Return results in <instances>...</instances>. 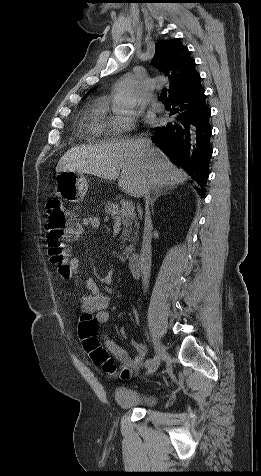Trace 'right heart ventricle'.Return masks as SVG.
Segmentation results:
<instances>
[{"instance_id": "1", "label": "right heart ventricle", "mask_w": 261, "mask_h": 476, "mask_svg": "<svg viewBox=\"0 0 261 476\" xmlns=\"http://www.w3.org/2000/svg\"><path fill=\"white\" fill-rule=\"evenodd\" d=\"M87 130L92 138H100L108 132V122L105 117L103 103H94L91 106Z\"/></svg>"}]
</instances>
